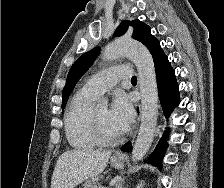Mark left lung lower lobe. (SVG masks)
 I'll return each mask as SVG.
<instances>
[{
    "mask_svg": "<svg viewBox=\"0 0 224 188\" xmlns=\"http://www.w3.org/2000/svg\"><path fill=\"white\" fill-rule=\"evenodd\" d=\"M156 77L158 84L159 99L164 111V115L169 117L175 107L179 105V86L176 81L175 72L168 61L167 56L155 64ZM168 132L159 141L155 151L150 155L148 161L151 164L162 167V158L167 147L166 140ZM122 151L130 152L131 143L126 144Z\"/></svg>",
    "mask_w": 224,
    "mask_h": 188,
    "instance_id": "1",
    "label": "left lung lower lobe"
}]
</instances>
